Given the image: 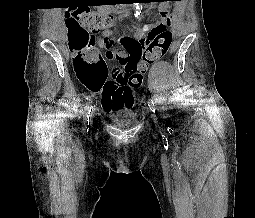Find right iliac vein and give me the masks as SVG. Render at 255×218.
<instances>
[{
	"label": "right iliac vein",
	"mask_w": 255,
	"mask_h": 218,
	"mask_svg": "<svg viewBox=\"0 0 255 218\" xmlns=\"http://www.w3.org/2000/svg\"><path fill=\"white\" fill-rule=\"evenodd\" d=\"M90 117H91V119H92V117H93V114H92V113H91Z\"/></svg>",
	"instance_id": "1"
}]
</instances>
